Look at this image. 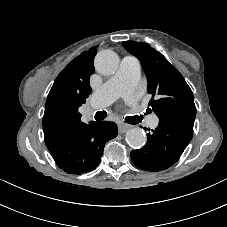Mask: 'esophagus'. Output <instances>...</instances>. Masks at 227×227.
Wrapping results in <instances>:
<instances>
[{"mask_svg": "<svg viewBox=\"0 0 227 227\" xmlns=\"http://www.w3.org/2000/svg\"><path fill=\"white\" fill-rule=\"evenodd\" d=\"M128 128H129V126L126 124H122V123L118 124V131L120 134L124 133Z\"/></svg>", "mask_w": 227, "mask_h": 227, "instance_id": "1", "label": "esophagus"}]
</instances>
